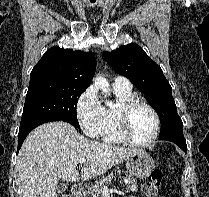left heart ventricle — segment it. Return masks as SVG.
Returning a JSON list of instances; mask_svg holds the SVG:
<instances>
[{"instance_id":"1","label":"left heart ventricle","mask_w":209,"mask_h":197,"mask_svg":"<svg viewBox=\"0 0 209 197\" xmlns=\"http://www.w3.org/2000/svg\"><path fill=\"white\" fill-rule=\"evenodd\" d=\"M154 117L144 105H137L129 116V130L137 141H147L154 131Z\"/></svg>"}]
</instances>
